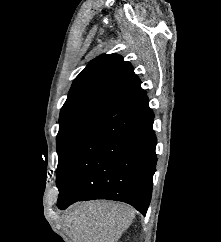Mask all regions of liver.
<instances>
[{"label":"liver","instance_id":"liver-1","mask_svg":"<svg viewBox=\"0 0 221 242\" xmlns=\"http://www.w3.org/2000/svg\"><path fill=\"white\" fill-rule=\"evenodd\" d=\"M134 217L135 211L125 204L83 202L66 211L64 225L72 242H118Z\"/></svg>","mask_w":221,"mask_h":242}]
</instances>
